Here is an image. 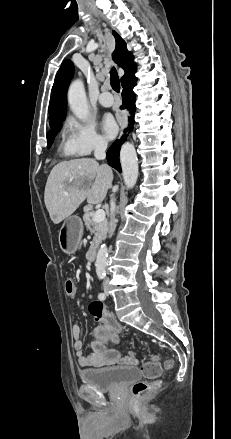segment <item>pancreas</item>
I'll list each match as a JSON object with an SVG mask.
<instances>
[{
  "label": "pancreas",
  "instance_id": "obj_1",
  "mask_svg": "<svg viewBox=\"0 0 231 439\" xmlns=\"http://www.w3.org/2000/svg\"><path fill=\"white\" fill-rule=\"evenodd\" d=\"M94 214L95 213L90 209H86L85 213L83 214V221L86 229L94 234L91 248L97 247V245L106 238L108 232V221L105 219L102 222L95 223L93 221Z\"/></svg>",
  "mask_w": 231,
  "mask_h": 439
}]
</instances>
